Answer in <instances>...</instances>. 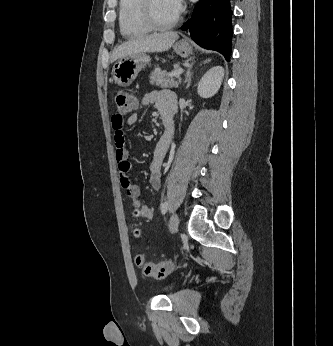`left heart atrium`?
<instances>
[{
  "mask_svg": "<svg viewBox=\"0 0 333 346\" xmlns=\"http://www.w3.org/2000/svg\"><path fill=\"white\" fill-rule=\"evenodd\" d=\"M170 5L176 12H179L182 7V0H168Z\"/></svg>",
  "mask_w": 333,
  "mask_h": 346,
  "instance_id": "left-heart-atrium-1",
  "label": "left heart atrium"
}]
</instances>
